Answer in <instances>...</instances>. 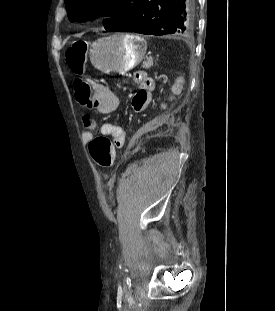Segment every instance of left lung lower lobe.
Returning a JSON list of instances; mask_svg holds the SVG:
<instances>
[{
	"label": "left lung lower lobe",
	"instance_id": "1",
	"mask_svg": "<svg viewBox=\"0 0 275 311\" xmlns=\"http://www.w3.org/2000/svg\"><path fill=\"white\" fill-rule=\"evenodd\" d=\"M194 4L195 0H142L135 17L117 31L187 34L194 28Z\"/></svg>",
	"mask_w": 275,
	"mask_h": 311
}]
</instances>
